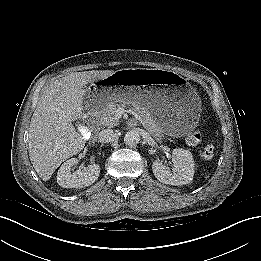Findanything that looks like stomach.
Wrapping results in <instances>:
<instances>
[{"label": "stomach", "mask_w": 261, "mask_h": 261, "mask_svg": "<svg viewBox=\"0 0 261 261\" xmlns=\"http://www.w3.org/2000/svg\"><path fill=\"white\" fill-rule=\"evenodd\" d=\"M101 82L86 90L83 97L85 109L101 111L111 102H135L147 108L157 126L172 136L185 135L197 125L199 96L172 71L123 69Z\"/></svg>", "instance_id": "stomach-1"}]
</instances>
